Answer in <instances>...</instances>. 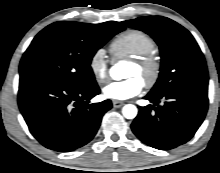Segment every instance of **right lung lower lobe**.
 Returning a JSON list of instances; mask_svg holds the SVG:
<instances>
[{
  "label": "right lung lower lobe",
  "instance_id": "right-lung-lower-lobe-1",
  "mask_svg": "<svg viewBox=\"0 0 220 173\" xmlns=\"http://www.w3.org/2000/svg\"><path fill=\"white\" fill-rule=\"evenodd\" d=\"M97 83L73 87L43 77L20 78L18 104L32 135L46 148L69 152L90 142L110 100L90 103Z\"/></svg>",
  "mask_w": 220,
  "mask_h": 173
}]
</instances>
